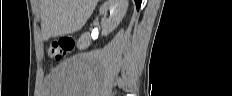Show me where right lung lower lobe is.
I'll return each mask as SVG.
<instances>
[{"label": "right lung lower lobe", "mask_w": 232, "mask_h": 96, "mask_svg": "<svg viewBox=\"0 0 232 96\" xmlns=\"http://www.w3.org/2000/svg\"><path fill=\"white\" fill-rule=\"evenodd\" d=\"M141 2H142V0H135L137 9H139Z\"/></svg>", "instance_id": "1"}]
</instances>
